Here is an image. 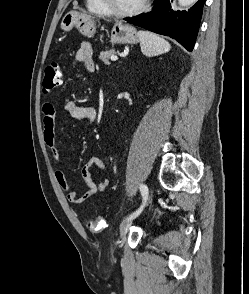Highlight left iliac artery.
<instances>
[{"instance_id": "left-iliac-artery-1", "label": "left iliac artery", "mask_w": 249, "mask_h": 294, "mask_svg": "<svg viewBox=\"0 0 249 294\" xmlns=\"http://www.w3.org/2000/svg\"><path fill=\"white\" fill-rule=\"evenodd\" d=\"M140 192H141V195L143 197V202H142V205L140 206V208H138L133 214H131L128 218V220H131V219H134L136 218L137 216L140 215V213L142 212L145 204H146V201H147V198H148V188L145 184H141L140 185Z\"/></svg>"}]
</instances>
